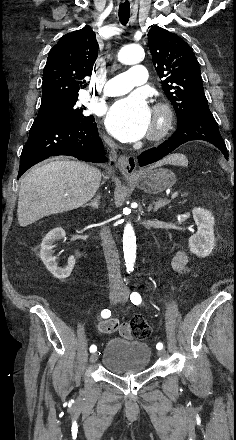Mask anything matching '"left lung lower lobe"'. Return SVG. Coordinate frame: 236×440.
<instances>
[{
    "label": "left lung lower lobe",
    "mask_w": 236,
    "mask_h": 440,
    "mask_svg": "<svg viewBox=\"0 0 236 440\" xmlns=\"http://www.w3.org/2000/svg\"><path fill=\"white\" fill-rule=\"evenodd\" d=\"M204 140L215 145L228 159V152L222 139L217 123L209 110V107H200L195 110L178 125L171 138L158 147L144 151L138 157L140 166H145L162 159L180 145L192 141Z\"/></svg>",
    "instance_id": "obj_1"
}]
</instances>
